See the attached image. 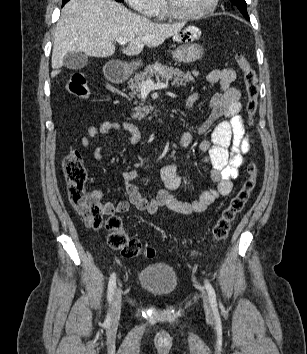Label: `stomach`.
Here are the masks:
<instances>
[{"mask_svg":"<svg viewBox=\"0 0 307 354\" xmlns=\"http://www.w3.org/2000/svg\"><path fill=\"white\" fill-rule=\"evenodd\" d=\"M201 31L196 26H189L182 32L174 36V41L182 45L172 52L173 58L182 63H191L203 56V47L193 43L194 40L200 37ZM140 62H133L132 64H122L119 68L118 74L121 77L129 76L133 69H136Z\"/></svg>","mask_w":307,"mask_h":354,"instance_id":"1","label":"stomach"}]
</instances>
